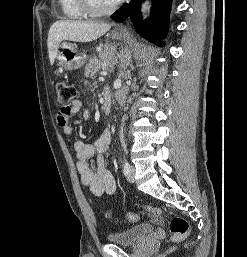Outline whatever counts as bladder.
Returning <instances> with one entry per match:
<instances>
[{
  "instance_id": "1",
  "label": "bladder",
  "mask_w": 247,
  "mask_h": 257,
  "mask_svg": "<svg viewBox=\"0 0 247 257\" xmlns=\"http://www.w3.org/2000/svg\"><path fill=\"white\" fill-rule=\"evenodd\" d=\"M153 231V225L143 223L120 232L110 233L107 236V240L113 244L131 246L142 242Z\"/></svg>"
}]
</instances>
